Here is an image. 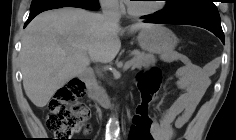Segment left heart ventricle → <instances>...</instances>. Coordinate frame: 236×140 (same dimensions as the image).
Instances as JSON below:
<instances>
[{"label":"left heart ventricle","mask_w":236,"mask_h":140,"mask_svg":"<svg viewBox=\"0 0 236 140\" xmlns=\"http://www.w3.org/2000/svg\"><path fill=\"white\" fill-rule=\"evenodd\" d=\"M154 0H142L131 2V5L134 9L137 10H148L154 8L158 3Z\"/></svg>","instance_id":"obj_1"}]
</instances>
